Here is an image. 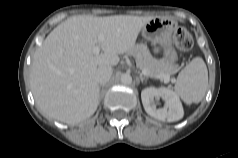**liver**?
<instances>
[{
    "label": "liver",
    "instance_id": "6515ba94",
    "mask_svg": "<svg viewBox=\"0 0 238 158\" xmlns=\"http://www.w3.org/2000/svg\"><path fill=\"white\" fill-rule=\"evenodd\" d=\"M153 18L78 15L55 27L31 64V89L40 110L67 124L91 117L99 104L97 68L116 66L119 55L135 47L139 32ZM100 35L103 53L95 55Z\"/></svg>",
    "mask_w": 238,
    "mask_h": 158
}]
</instances>
